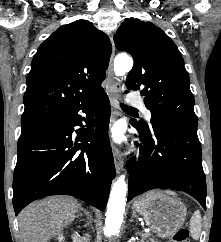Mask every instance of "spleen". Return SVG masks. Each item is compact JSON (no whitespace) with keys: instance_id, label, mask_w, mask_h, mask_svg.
I'll list each match as a JSON object with an SVG mask.
<instances>
[{"instance_id":"spleen-1","label":"spleen","mask_w":221,"mask_h":242,"mask_svg":"<svg viewBox=\"0 0 221 242\" xmlns=\"http://www.w3.org/2000/svg\"><path fill=\"white\" fill-rule=\"evenodd\" d=\"M166 193L169 195H176L175 192L171 190H166ZM201 232V215L200 212L196 211L191 218V226H190V233L193 239L197 240L199 239Z\"/></svg>"}]
</instances>
